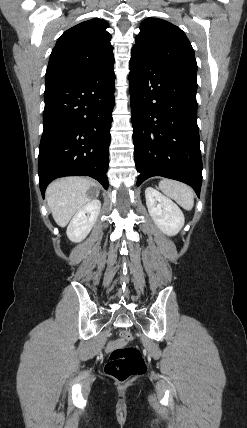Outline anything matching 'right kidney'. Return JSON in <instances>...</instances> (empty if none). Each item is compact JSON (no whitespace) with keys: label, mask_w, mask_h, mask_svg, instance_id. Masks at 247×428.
Masks as SVG:
<instances>
[{"label":"right kidney","mask_w":247,"mask_h":428,"mask_svg":"<svg viewBox=\"0 0 247 428\" xmlns=\"http://www.w3.org/2000/svg\"><path fill=\"white\" fill-rule=\"evenodd\" d=\"M101 202L91 200L72 218L67 227V236L72 242H81L91 231L100 213Z\"/></svg>","instance_id":"obj_1"}]
</instances>
